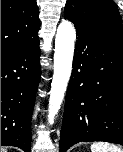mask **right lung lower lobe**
<instances>
[{"label":"right lung lower lobe","mask_w":123,"mask_h":152,"mask_svg":"<svg viewBox=\"0 0 123 152\" xmlns=\"http://www.w3.org/2000/svg\"><path fill=\"white\" fill-rule=\"evenodd\" d=\"M39 39L1 52V145L30 152L31 117L40 80Z\"/></svg>","instance_id":"obj_1"}]
</instances>
